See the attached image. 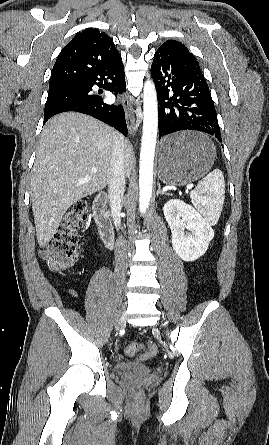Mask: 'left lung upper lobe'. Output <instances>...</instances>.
I'll use <instances>...</instances> for the list:
<instances>
[{"label": "left lung upper lobe", "instance_id": "left-lung-upper-lobe-1", "mask_svg": "<svg viewBox=\"0 0 269 445\" xmlns=\"http://www.w3.org/2000/svg\"><path fill=\"white\" fill-rule=\"evenodd\" d=\"M186 50L188 51V49L185 47L184 44L178 42V41H174V40H168L166 42H164L159 48V51H168V50Z\"/></svg>", "mask_w": 269, "mask_h": 445}]
</instances>
